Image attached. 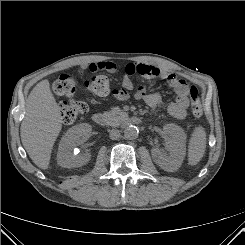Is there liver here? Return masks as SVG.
Returning <instances> with one entry per match:
<instances>
[{"label": "liver", "mask_w": 245, "mask_h": 245, "mask_svg": "<svg viewBox=\"0 0 245 245\" xmlns=\"http://www.w3.org/2000/svg\"><path fill=\"white\" fill-rule=\"evenodd\" d=\"M62 129L60 108L47 79L30 92L21 123V141L32 161L41 169L50 163L53 145Z\"/></svg>", "instance_id": "obj_1"}]
</instances>
